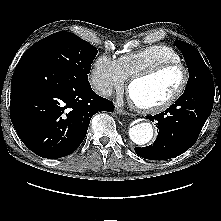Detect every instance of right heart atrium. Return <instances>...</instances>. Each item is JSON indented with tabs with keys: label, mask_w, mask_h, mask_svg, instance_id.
Returning <instances> with one entry per match:
<instances>
[{
	"label": "right heart atrium",
	"mask_w": 221,
	"mask_h": 221,
	"mask_svg": "<svg viewBox=\"0 0 221 221\" xmlns=\"http://www.w3.org/2000/svg\"><path fill=\"white\" fill-rule=\"evenodd\" d=\"M89 82L92 88L102 94L110 95L123 89L126 78L121 72L117 60L108 55H99L92 63Z\"/></svg>",
	"instance_id": "right-heart-atrium-1"
}]
</instances>
